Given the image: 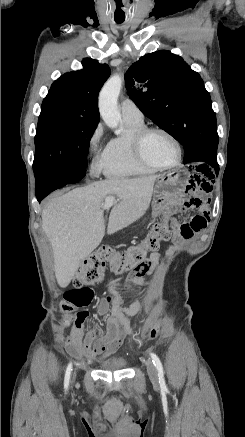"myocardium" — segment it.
Returning <instances> with one entry per match:
<instances>
[{"label": "myocardium", "mask_w": 245, "mask_h": 437, "mask_svg": "<svg viewBox=\"0 0 245 437\" xmlns=\"http://www.w3.org/2000/svg\"><path fill=\"white\" fill-rule=\"evenodd\" d=\"M152 132H158L161 133L163 135H165L167 138H169L172 143L175 145L176 150H177V159L176 161L171 164V165H160L157 163H154L150 160H148L144 153H143V141L144 138ZM131 145H132V150L133 153L135 155V157L137 158V160L139 162H141L142 164L154 168L156 170H170V169H174L177 166H179V164L181 163V159H182V147L180 142L178 141V139L168 130L162 128V127H158V126H149V127H143L142 129H140L139 131H137L134 136L132 137L131 140Z\"/></svg>", "instance_id": "obj_1"}]
</instances>
